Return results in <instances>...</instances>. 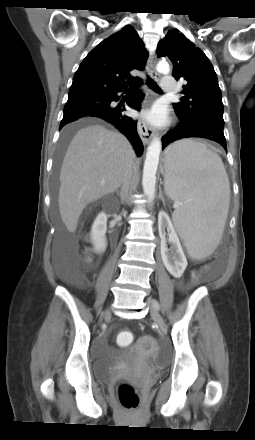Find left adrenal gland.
I'll return each instance as SVG.
<instances>
[{"instance_id":"obj_1","label":"left adrenal gland","mask_w":255,"mask_h":440,"mask_svg":"<svg viewBox=\"0 0 255 440\" xmlns=\"http://www.w3.org/2000/svg\"><path fill=\"white\" fill-rule=\"evenodd\" d=\"M162 201H163V203H165V200H164V198L162 197Z\"/></svg>"}]
</instances>
